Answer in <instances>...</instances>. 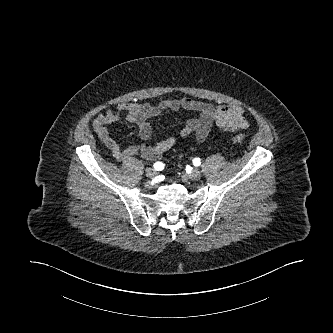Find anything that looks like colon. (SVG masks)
Returning <instances> with one entry per match:
<instances>
[{
  "instance_id": "5ec220e1",
  "label": "colon",
  "mask_w": 333,
  "mask_h": 333,
  "mask_svg": "<svg viewBox=\"0 0 333 333\" xmlns=\"http://www.w3.org/2000/svg\"><path fill=\"white\" fill-rule=\"evenodd\" d=\"M232 141L236 144H241L244 141V136L242 134H235L232 137Z\"/></svg>"
}]
</instances>
